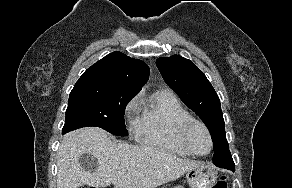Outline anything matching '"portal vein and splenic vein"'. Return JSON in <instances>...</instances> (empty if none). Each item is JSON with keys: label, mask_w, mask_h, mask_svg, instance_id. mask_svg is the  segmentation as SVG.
I'll return each mask as SVG.
<instances>
[{"label": "portal vein and splenic vein", "mask_w": 292, "mask_h": 188, "mask_svg": "<svg viewBox=\"0 0 292 188\" xmlns=\"http://www.w3.org/2000/svg\"><path fill=\"white\" fill-rule=\"evenodd\" d=\"M125 172V170H121V171H119L118 173L119 174H123Z\"/></svg>", "instance_id": "obj_1"}]
</instances>
